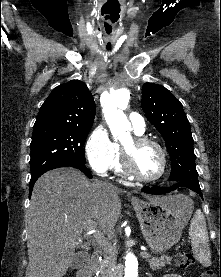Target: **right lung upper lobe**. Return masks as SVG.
I'll use <instances>...</instances> for the list:
<instances>
[{
    "instance_id": "obj_1",
    "label": "right lung upper lobe",
    "mask_w": 221,
    "mask_h": 277,
    "mask_svg": "<svg viewBox=\"0 0 221 277\" xmlns=\"http://www.w3.org/2000/svg\"><path fill=\"white\" fill-rule=\"evenodd\" d=\"M94 117L95 102L88 87L71 80L53 89L41 106L34 127H92Z\"/></svg>"
}]
</instances>
